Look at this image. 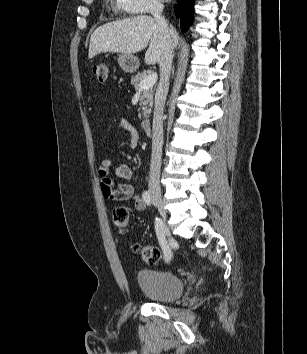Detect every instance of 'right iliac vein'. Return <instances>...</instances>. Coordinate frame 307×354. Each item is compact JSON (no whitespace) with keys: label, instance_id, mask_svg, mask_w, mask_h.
Segmentation results:
<instances>
[{"label":"right iliac vein","instance_id":"1","mask_svg":"<svg viewBox=\"0 0 307 354\" xmlns=\"http://www.w3.org/2000/svg\"><path fill=\"white\" fill-rule=\"evenodd\" d=\"M152 198H153L154 205L159 209V212H160V214H161V216L163 218V221L166 222L167 216H166V211L164 209V205H163L161 197L153 194ZM165 231H166L167 236L170 237V232H169V229H168L167 226L165 228Z\"/></svg>","mask_w":307,"mask_h":354}]
</instances>
